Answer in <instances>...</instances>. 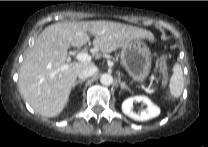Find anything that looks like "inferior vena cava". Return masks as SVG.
Masks as SVG:
<instances>
[{"label":"inferior vena cava","instance_id":"inferior-vena-cava-1","mask_svg":"<svg viewBox=\"0 0 208 147\" xmlns=\"http://www.w3.org/2000/svg\"><path fill=\"white\" fill-rule=\"evenodd\" d=\"M97 70V67L94 64H91L79 70L77 76L80 79H86L90 76H93L97 72Z\"/></svg>","mask_w":208,"mask_h":147}]
</instances>
